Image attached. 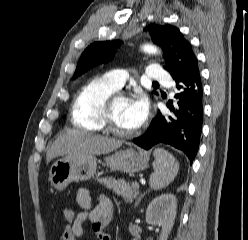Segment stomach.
<instances>
[{
	"instance_id": "1",
	"label": "stomach",
	"mask_w": 248,
	"mask_h": 240,
	"mask_svg": "<svg viewBox=\"0 0 248 240\" xmlns=\"http://www.w3.org/2000/svg\"><path fill=\"white\" fill-rule=\"evenodd\" d=\"M149 154L132 148L120 150L105 158L111 170L136 173L148 166ZM97 159L92 155L63 157L49 170V181L58 191L64 190L73 181H86L96 173Z\"/></svg>"
}]
</instances>
